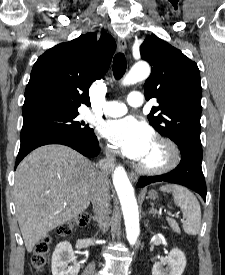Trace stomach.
Segmentation results:
<instances>
[{"label":"stomach","instance_id":"1","mask_svg":"<svg viewBox=\"0 0 225 275\" xmlns=\"http://www.w3.org/2000/svg\"><path fill=\"white\" fill-rule=\"evenodd\" d=\"M149 198H150V199H156V198H157L156 192L150 191V192H149Z\"/></svg>","mask_w":225,"mask_h":275}]
</instances>
